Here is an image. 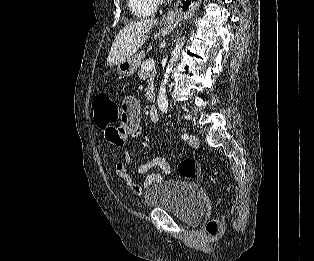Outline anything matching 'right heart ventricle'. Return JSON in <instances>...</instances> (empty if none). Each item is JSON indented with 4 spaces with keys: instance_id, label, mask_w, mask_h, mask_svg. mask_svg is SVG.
Masks as SVG:
<instances>
[{
    "instance_id": "obj_1",
    "label": "right heart ventricle",
    "mask_w": 314,
    "mask_h": 261,
    "mask_svg": "<svg viewBox=\"0 0 314 261\" xmlns=\"http://www.w3.org/2000/svg\"><path fill=\"white\" fill-rule=\"evenodd\" d=\"M128 7L135 17H150L156 11V0H128Z\"/></svg>"
}]
</instances>
